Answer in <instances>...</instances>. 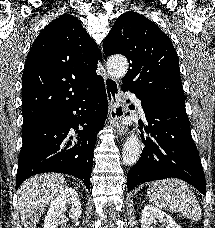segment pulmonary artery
I'll use <instances>...</instances> for the list:
<instances>
[{
  "instance_id": "e3ab8cb5",
  "label": "pulmonary artery",
  "mask_w": 215,
  "mask_h": 228,
  "mask_svg": "<svg viewBox=\"0 0 215 228\" xmlns=\"http://www.w3.org/2000/svg\"><path fill=\"white\" fill-rule=\"evenodd\" d=\"M120 93H122L123 96L129 95V88H120ZM130 102H135V110H139L142 114L144 113V105H142V98L141 97H130Z\"/></svg>"
}]
</instances>
